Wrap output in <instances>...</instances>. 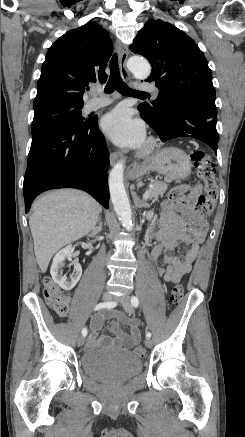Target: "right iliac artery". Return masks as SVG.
Here are the masks:
<instances>
[{"label": "right iliac artery", "mask_w": 245, "mask_h": 437, "mask_svg": "<svg viewBox=\"0 0 245 437\" xmlns=\"http://www.w3.org/2000/svg\"><path fill=\"white\" fill-rule=\"evenodd\" d=\"M116 306V302L112 301V302H104V303H99L95 306L94 310H99L102 308H113ZM82 335L86 336L87 335V328L84 327L82 330Z\"/></svg>", "instance_id": "obj_1"}]
</instances>
